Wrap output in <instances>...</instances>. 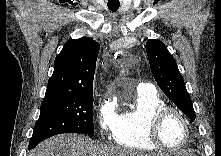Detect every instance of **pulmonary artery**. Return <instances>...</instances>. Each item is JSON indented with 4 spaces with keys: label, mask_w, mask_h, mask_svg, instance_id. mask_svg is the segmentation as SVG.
I'll return each mask as SVG.
<instances>
[{
    "label": "pulmonary artery",
    "mask_w": 221,
    "mask_h": 156,
    "mask_svg": "<svg viewBox=\"0 0 221 156\" xmlns=\"http://www.w3.org/2000/svg\"><path fill=\"white\" fill-rule=\"evenodd\" d=\"M137 90L138 91H151V90H154V87L149 83L141 82L138 84Z\"/></svg>",
    "instance_id": "e3ab8cb5"
}]
</instances>
